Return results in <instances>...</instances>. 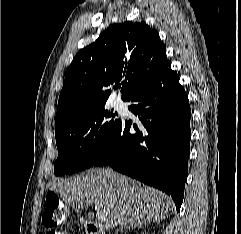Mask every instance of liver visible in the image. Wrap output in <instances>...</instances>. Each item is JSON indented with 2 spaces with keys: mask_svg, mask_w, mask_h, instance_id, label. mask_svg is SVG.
<instances>
[{
  "mask_svg": "<svg viewBox=\"0 0 241 234\" xmlns=\"http://www.w3.org/2000/svg\"><path fill=\"white\" fill-rule=\"evenodd\" d=\"M65 203L81 209L97 207L107 230L132 224L159 222L174 208L171 198L111 168H92L69 180L48 183Z\"/></svg>",
  "mask_w": 241,
  "mask_h": 234,
  "instance_id": "1",
  "label": "liver"
}]
</instances>
